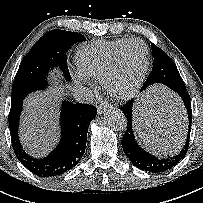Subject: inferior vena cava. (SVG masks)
Here are the masks:
<instances>
[{"label":"inferior vena cava","instance_id":"1","mask_svg":"<svg viewBox=\"0 0 203 203\" xmlns=\"http://www.w3.org/2000/svg\"><path fill=\"white\" fill-rule=\"evenodd\" d=\"M72 95L79 103H91L93 101L92 92L83 86H77L73 89Z\"/></svg>","mask_w":203,"mask_h":203}]
</instances>
